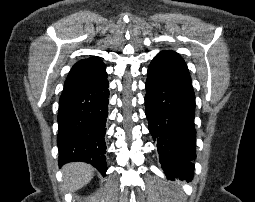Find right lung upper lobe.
<instances>
[{
	"label": "right lung upper lobe",
	"instance_id": "right-lung-upper-lobe-1",
	"mask_svg": "<svg viewBox=\"0 0 255 202\" xmlns=\"http://www.w3.org/2000/svg\"><path fill=\"white\" fill-rule=\"evenodd\" d=\"M107 78L106 67L96 56L78 61L69 72L64 89L78 88Z\"/></svg>",
	"mask_w": 255,
	"mask_h": 202
}]
</instances>
